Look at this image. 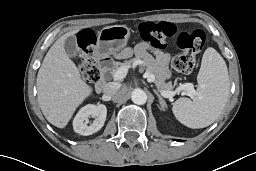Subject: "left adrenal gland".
I'll list each match as a JSON object with an SVG mask.
<instances>
[{
    "label": "left adrenal gland",
    "mask_w": 256,
    "mask_h": 171,
    "mask_svg": "<svg viewBox=\"0 0 256 171\" xmlns=\"http://www.w3.org/2000/svg\"><path fill=\"white\" fill-rule=\"evenodd\" d=\"M154 93L157 95L162 109L165 110L166 103H165L164 99L161 97V95H160V94L158 93V91L155 90V89H154Z\"/></svg>",
    "instance_id": "left-adrenal-gland-1"
}]
</instances>
